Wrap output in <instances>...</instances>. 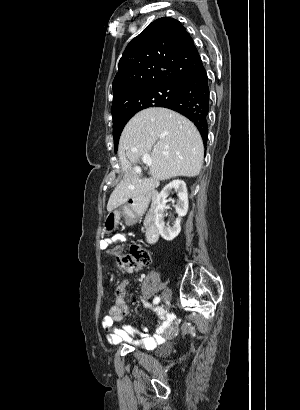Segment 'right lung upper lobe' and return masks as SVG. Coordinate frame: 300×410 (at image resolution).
<instances>
[{
	"instance_id": "right-lung-upper-lobe-1",
	"label": "right lung upper lobe",
	"mask_w": 300,
	"mask_h": 410,
	"mask_svg": "<svg viewBox=\"0 0 300 410\" xmlns=\"http://www.w3.org/2000/svg\"><path fill=\"white\" fill-rule=\"evenodd\" d=\"M201 64L193 39L179 21L155 20L127 45L119 61L112 85V116L122 115L138 91L183 85Z\"/></svg>"
}]
</instances>
